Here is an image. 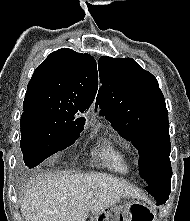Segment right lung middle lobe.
Instances as JSON below:
<instances>
[{
  "label": "right lung middle lobe",
  "mask_w": 190,
  "mask_h": 221,
  "mask_svg": "<svg viewBox=\"0 0 190 221\" xmlns=\"http://www.w3.org/2000/svg\"><path fill=\"white\" fill-rule=\"evenodd\" d=\"M20 123L24 163L33 168L72 145L79 138L85 119L64 113L30 111L22 114Z\"/></svg>",
  "instance_id": "obj_1"
}]
</instances>
